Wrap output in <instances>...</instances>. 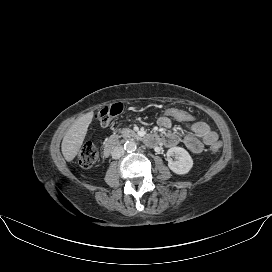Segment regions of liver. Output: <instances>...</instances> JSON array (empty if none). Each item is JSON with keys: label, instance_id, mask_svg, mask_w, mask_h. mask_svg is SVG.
<instances>
[{"label": "liver", "instance_id": "obj_1", "mask_svg": "<svg viewBox=\"0 0 272 272\" xmlns=\"http://www.w3.org/2000/svg\"><path fill=\"white\" fill-rule=\"evenodd\" d=\"M92 118V113H87L78 118L67 130L61 145L62 154L66 161L70 162L77 156Z\"/></svg>", "mask_w": 272, "mask_h": 272}]
</instances>
